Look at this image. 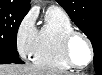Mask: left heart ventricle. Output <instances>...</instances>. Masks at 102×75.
I'll use <instances>...</instances> for the list:
<instances>
[{
  "label": "left heart ventricle",
  "mask_w": 102,
  "mask_h": 75,
  "mask_svg": "<svg viewBox=\"0 0 102 75\" xmlns=\"http://www.w3.org/2000/svg\"><path fill=\"white\" fill-rule=\"evenodd\" d=\"M71 53L76 63L85 64L89 57V50L83 38L77 37L71 45Z\"/></svg>",
  "instance_id": "obj_1"
}]
</instances>
